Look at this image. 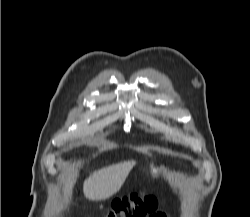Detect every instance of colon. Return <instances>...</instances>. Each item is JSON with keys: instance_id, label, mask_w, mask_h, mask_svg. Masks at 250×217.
<instances>
[{"instance_id": "obj_1", "label": "colon", "mask_w": 250, "mask_h": 217, "mask_svg": "<svg viewBox=\"0 0 250 217\" xmlns=\"http://www.w3.org/2000/svg\"><path fill=\"white\" fill-rule=\"evenodd\" d=\"M157 198L139 193H132L113 201L106 217H165L157 212Z\"/></svg>"}]
</instances>
